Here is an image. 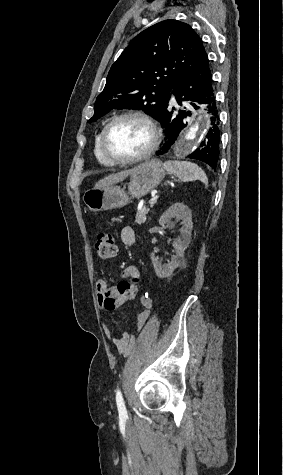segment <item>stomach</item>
Wrapping results in <instances>:
<instances>
[{"label": "stomach", "instance_id": "obj_1", "mask_svg": "<svg viewBox=\"0 0 283 475\" xmlns=\"http://www.w3.org/2000/svg\"><path fill=\"white\" fill-rule=\"evenodd\" d=\"M166 172L160 160H145L138 164L130 174L128 192L120 186H105L100 190H87L83 196V202L91 212L102 210H114L127 206L132 198H142L149 194L150 190L157 188L162 182Z\"/></svg>", "mask_w": 283, "mask_h": 475}]
</instances>
